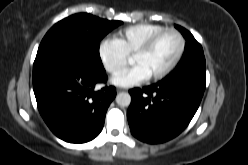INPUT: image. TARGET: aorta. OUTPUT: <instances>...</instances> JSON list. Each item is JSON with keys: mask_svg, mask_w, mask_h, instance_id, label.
<instances>
[{"mask_svg": "<svg viewBox=\"0 0 248 165\" xmlns=\"http://www.w3.org/2000/svg\"><path fill=\"white\" fill-rule=\"evenodd\" d=\"M116 103L121 107H127L131 103V96L129 93L121 92L116 96Z\"/></svg>", "mask_w": 248, "mask_h": 165, "instance_id": "762f6f07", "label": "aorta"}]
</instances>
